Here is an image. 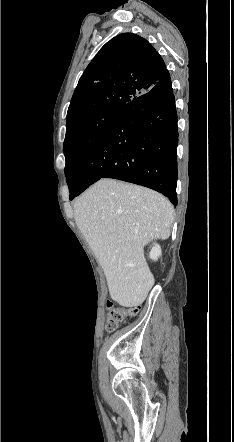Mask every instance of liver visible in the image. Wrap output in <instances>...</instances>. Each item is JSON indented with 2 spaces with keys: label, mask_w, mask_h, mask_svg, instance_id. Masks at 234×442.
Masks as SVG:
<instances>
[{
  "label": "liver",
  "mask_w": 234,
  "mask_h": 442,
  "mask_svg": "<svg viewBox=\"0 0 234 442\" xmlns=\"http://www.w3.org/2000/svg\"><path fill=\"white\" fill-rule=\"evenodd\" d=\"M74 215L111 298L124 307L142 304L154 285L144 246L170 236L174 208L169 200L148 188L101 179L77 198Z\"/></svg>",
  "instance_id": "obj_1"
}]
</instances>
